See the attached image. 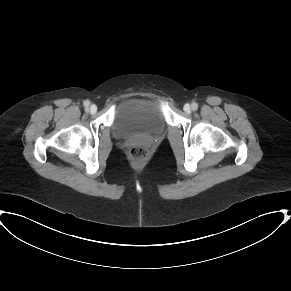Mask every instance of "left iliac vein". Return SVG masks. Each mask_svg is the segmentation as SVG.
Masks as SVG:
<instances>
[{
	"mask_svg": "<svg viewBox=\"0 0 291 291\" xmlns=\"http://www.w3.org/2000/svg\"><path fill=\"white\" fill-rule=\"evenodd\" d=\"M184 111L185 112H190V105L189 104H185L184 105Z\"/></svg>",
	"mask_w": 291,
	"mask_h": 291,
	"instance_id": "left-iliac-vein-1",
	"label": "left iliac vein"
}]
</instances>
